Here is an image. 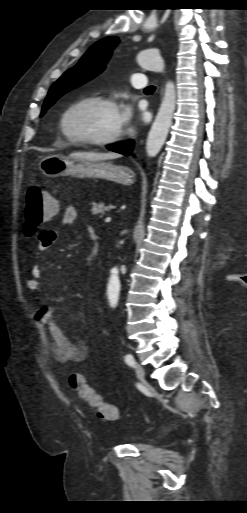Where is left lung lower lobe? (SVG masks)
<instances>
[{
    "mask_svg": "<svg viewBox=\"0 0 247 513\" xmlns=\"http://www.w3.org/2000/svg\"><path fill=\"white\" fill-rule=\"evenodd\" d=\"M107 149L114 151V152H118L123 155L130 156V155H132L133 150H134V141L128 140L123 143L110 145V146H107Z\"/></svg>",
    "mask_w": 247,
    "mask_h": 513,
    "instance_id": "obj_1",
    "label": "left lung lower lobe"
}]
</instances>
